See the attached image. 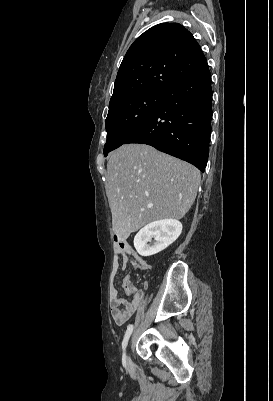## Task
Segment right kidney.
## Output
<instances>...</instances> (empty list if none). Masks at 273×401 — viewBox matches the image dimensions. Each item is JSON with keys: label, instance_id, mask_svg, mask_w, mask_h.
Here are the masks:
<instances>
[{"label": "right kidney", "instance_id": "obj_1", "mask_svg": "<svg viewBox=\"0 0 273 401\" xmlns=\"http://www.w3.org/2000/svg\"><path fill=\"white\" fill-rule=\"evenodd\" d=\"M182 233V225L176 219H162L143 227L134 237V247L141 257H151L164 251ZM154 239L155 243L148 245Z\"/></svg>", "mask_w": 273, "mask_h": 401}]
</instances>
